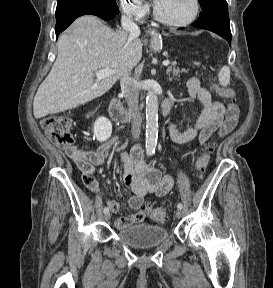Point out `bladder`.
<instances>
[{"instance_id":"1","label":"bladder","mask_w":273,"mask_h":288,"mask_svg":"<svg viewBox=\"0 0 273 288\" xmlns=\"http://www.w3.org/2000/svg\"><path fill=\"white\" fill-rule=\"evenodd\" d=\"M117 237L130 247L148 248L164 243L169 238V233L164 227L141 223L122 228Z\"/></svg>"}]
</instances>
